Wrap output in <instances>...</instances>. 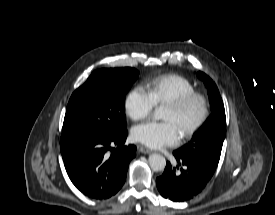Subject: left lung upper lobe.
I'll return each instance as SVG.
<instances>
[{"label": "left lung upper lobe", "mask_w": 275, "mask_h": 215, "mask_svg": "<svg viewBox=\"0 0 275 215\" xmlns=\"http://www.w3.org/2000/svg\"><path fill=\"white\" fill-rule=\"evenodd\" d=\"M207 87L212 114L196 131L192 139L175 152L217 167L226 134L224 105L215 83L203 72H198Z\"/></svg>", "instance_id": "5c2ea615"}]
</instances>
